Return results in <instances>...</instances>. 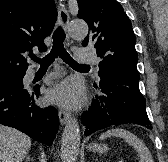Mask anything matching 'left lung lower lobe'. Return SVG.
<instances>
[{"instance_id": "left-lung-lower-lobe-1", "label": "left lung lower lobe", "mask_w": 168, "mask_h": 162, "mask_svg": "<svg viewBox=\"0 0 168 162\" xmlns=\"http://www.w3.org/2000/svg\"><path fill=\"white\" fill-rule=\"evenodd\" d=\"M98 89L103 95L96 96L89 112L82 116L86 136L112 125L130 123L152 129L138 82L107 74L101 77Z\"/></svg>"}]
</instances>
